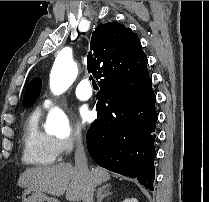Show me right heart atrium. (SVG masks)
Returning <instances> with one entry per match:
<instances>
[{
    "instance_id": "1",
    "label": "right heart atrium",
    "mask_w": 209,
    "mask_h": 202,
    "mask_svg": "<svg viewBox=\"0 0 209 202\" xmlns=\"http://www.w3.org/2000/svg\"><path fill=\"white\" fill-rule=\"evenodd\" d=\"M56 140L60 152L64 154H70L82 145V136L78 133H72Z\"/></svg>"
}]
</instances>
